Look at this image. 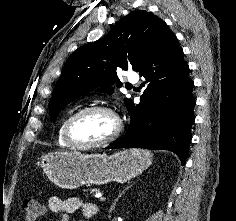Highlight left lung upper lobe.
<instances>
[{
  "instance_id": "1",
  "label": "left lung upper lobe",
  "mask_w": 236,
  "mask_h": 221,
  "mask_svg": "<svg viewBox=\"0 0 236 221\" xmlns=\"http://www.w3.org/2000/svg\"><path fill=\"white\" fill-rule=\"evenodd\" d=\"M167 24L156 15L140 10L129 13L102 39L78 48L65 63L49 103L50 117L56 121L58 113L70 102L92 89L117 83L116 69L131 66L139 71L150 59ZM101 91L112 94L111 87ZM127 107L132 103L125 99Z\"/></svg>"
}]
</instances>
